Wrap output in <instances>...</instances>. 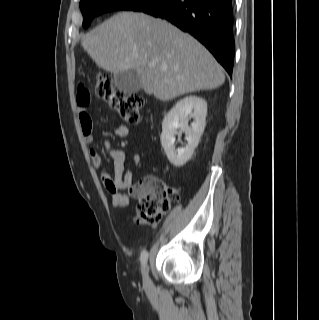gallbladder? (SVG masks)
<instances>
[{"label":"gallbladder","mask_w":319,"mask_h":320,"mask_svg":"<svg viewBox=\"0 0 319 320\" xmlns=\"http://www.w3.org/2000/svg\"><path fill=\"white\" fill-rule=\"evenodd\" d=\"M114 85L125 94H132L141 90V82L138 75L131 71L126 70L118 72L113 76Z\"/></svg>","instance_id":"1"}]
</instances>
